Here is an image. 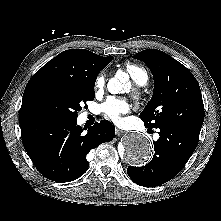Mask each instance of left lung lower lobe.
I'll list each match as a JSON object with an SVG mask.
<instances>
[{"label": "left lung lower lobe", "instance_id": "1", "mask_svg": "<svg viewBox=\"0 0 221 221\" xmlns=\"http://www.w3.org/2000/svg\"><path fill=\"white\" fill-rule=\"evenodd\" d=\"M154 141L153 159L143 167L127 168L129 177L138 185L155 187L176 176L194 152L199 135L174 126L160 128Z\"/></svg>", "mask_w": 221, "mask_h": 221}]
</instances>
